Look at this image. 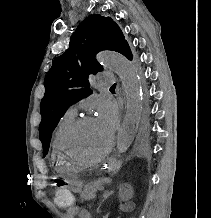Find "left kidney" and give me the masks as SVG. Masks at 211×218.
Listing matches in <instances>:
<instances>
[{"mask_svg":"<svg viewBox=\"0 0 211 218\" xmlns=\"http://www.w3.org/2000/svg\"><path fill=\"white\" fill-rule=\"evenodd\" d=\"M130 202H119L117 205V210H122L123 207V215H132V207Z\"/></svg>","mask_w":211,"mask_h":218,"instance_id":"left-kidney-1","label":"left kidney"}]
</instances>
